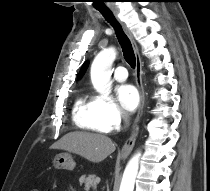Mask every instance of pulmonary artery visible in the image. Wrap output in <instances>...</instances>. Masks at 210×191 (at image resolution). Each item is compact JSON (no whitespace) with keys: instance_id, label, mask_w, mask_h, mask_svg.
Wrapping results in <instances>:
<instances>
[{"instance_id":"obj_1","label":"pulmonary artery","mask_w":210,"mask_h":191,"mask_svg":"<svg viewBox=\"0 0 210 191\" xmlns=\"http://www.w3.org/2000/svg\"><path fill=\"white\" fill-rule=\"evenodd\" d=\"M114 77L118 82L125 81L128 77L126 68L123 66H118L114 71Z\"/></svg>"}]
</instances>
